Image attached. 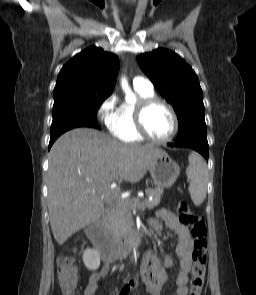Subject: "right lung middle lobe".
<instances>
[{
  "label": "right lung middle lobe",
  "mask_w": 256,
  "mask_h": 295,
  "mask_svg": "<svg viewBox=\"0 0 256 295\" xmlns=\"http://www.w3.org/2000/svg\"><path fill=\"white\" fill-rule=\"evenodd\" d=\"M105 99L106 98H91L54 103L51 131L70 125L82 124L90 119L95 120L97 111Z\"/></svg>",
  "instance_id": "right-lung-middle-lobe-1"
}]
</instances>
